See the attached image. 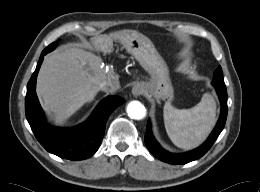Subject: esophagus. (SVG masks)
I'll return each instance as SVG.
<instances>
[{
    "instance_id": "obj_1",
    "label": "esophagus",
    "mask_w": 260,
    "mask_h": 192,
    "mask_svg": "<svg viewBox=\"0 0 260 192\" xmlns=\"http://www.w3.org/2000/svg\"><path fill=\"white\" fill-rule=\"evenodd\" d=\"M144 92V88L141 84H136L132 89V94L135 97L140 96Z\"/></svg>"
}]
</instances>
